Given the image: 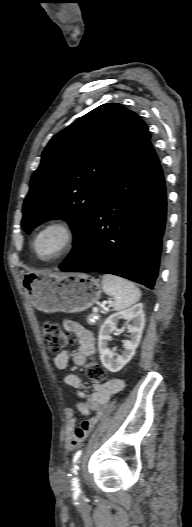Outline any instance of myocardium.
I'll return each instance as SVG.
<instances>
[{"instance_id": "obj_1", "label": "myocardium", "mask_w": 192, "mask_h": 527, "mask_svg": "<svg viewBox=\"0 0 192 527\" xmlns=\"http://www.w3.org/2000/svg\"><path fill=\"white\" fill-rule=\"evenodd\" d=\"M50 228H59L64 233V241L61 247L52 255L43 257L38 253L37 241L40 235ZM77 241V230L75 225L66 218H53L41 224L33 234L31 249L35 257L42 262H52L67 255L75 246Z\"/></svg>"}]
</instances>
